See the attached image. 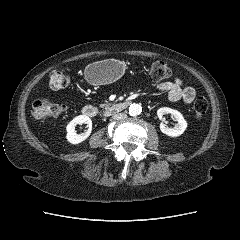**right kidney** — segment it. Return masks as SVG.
<instances>
[{
    "mask_svg": "<svg viewBox=\"0 0 240 240\" xmlns=\"http://www.w3.org/2000/svg\"><path fill=\"white\" fill-rule=\"evenodd\" d=\"M78 124L80 125L86 124L88 127L86 132L78 134L75 130V127ZM91 130H92V120L86 115H79V116H76L72 121H70L66 126V131H67L66 138L70 143L78 144L83 142L90 136Z\"/></svg>",
    "mask_w": 240,
    "mask_h": 240,
    "instance_id": "1",
    "label": "right kidney"
}]
</instances>
